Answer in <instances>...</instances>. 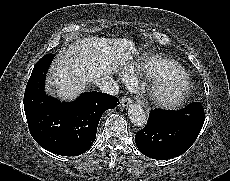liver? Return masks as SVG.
<instances>
[{"label": "liver", "instance_id": "obj_1", "mask_svg": "<svg viewBox=\"0 0 230 181\" xmlns=\"http://www.w3.org/2000/svg\"><path fill=\"white\" fill-rule=\"evenodd\" d=\"M135 51L126 39H76L51 65L46 89L60 99L73 100L90 82L125 65Z\"/></svg>", "mask_w": 230, "mask_h": 181}]
</instances>
